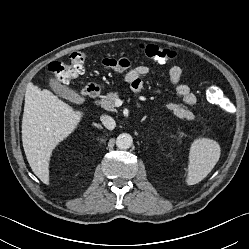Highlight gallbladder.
Here are the masks:
<instances>
[{"instance_id": "obj_1", "label": "gallbladder", "mask_w": 249, "mask_h": 249, "mask_svg": "<svg viewBox=\"0 0 249 249\" xmlns=\"http://www.w3.org/2000/svg\"><path fill=\"white\" fill-rule=\"evenodd\" d=\"M49 86L60 97L65 98L73 103H82L83 99L73 89L63 85L55 78H49Z\"/></svg>"}]
</instances>
